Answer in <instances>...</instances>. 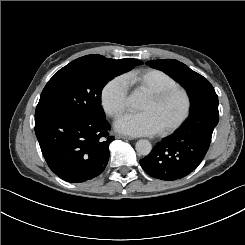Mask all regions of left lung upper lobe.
I'll return each instance as SVG.
<instances>
[{"mask_svg":"<svg viewBox=\"0 0 245 245\" xmlns=\"http://www.w3.org/2000/svg\"><path fill=\"white\" fill-rule=\"evenodd\" d=\"M146 64L165 72L179 82L187 90L192 104L197 97L202 96L206 90L212 87L207 79L177 60H154Z\"/></svg>","mask_w":245,"mask_h":245,"instance_id":"left-lung-upper-lobe-1","label":"left lung upper lobe"}]
</instances>
